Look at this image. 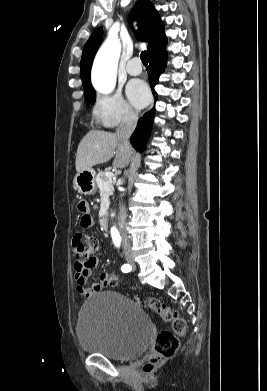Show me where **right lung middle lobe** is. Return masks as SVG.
<instances>
[{"instance_id": "right-lung-middle-lobe-1", "label": "right lung middle lobe", "mask_w": 267, "mask_h": 391, "mask_svg": "<svg viewBox=\"0 0 267 391\" xmlns=\"http://www.w3.org/2000/svg\"><path fill=\"white\" fill-rule=\"evenodd\" d=\"M95 91L92 90V91H88L85 93V100H86V104L87 105H90L91 103H94L95 102Z\"/></svg>"}]
</instances>
